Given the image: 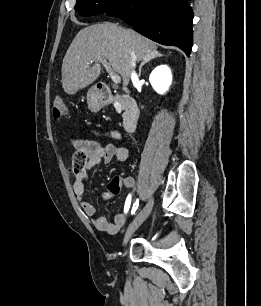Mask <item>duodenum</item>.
I'll return each mask as SVG.
<instances>
[{
    "mask_svg": "<svg viewBox=\"0 0 261 306\" xmlns=\"http://www.w3.org/2000/svg\"><path fill=\"white\" fill-rule=\"evenodd\" d=\"M96 97L104 104L118 101L123 110V127L127 132L135 130L139 120L140 110L137 102L129 95H114L107 84H98L96 87Z\"/></svg>",
    "mask_w": 261,
    "mask_h": 306,
    "instance_id": "duodenum-1",
    "label": "duodenum"
}]
</instances>
